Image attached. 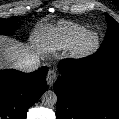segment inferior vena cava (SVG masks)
<instances>
[{
  "mask_svg": "<svg viewBox=\"0 0 119 119\" xmlns=\"http://www.w3.org/2000/svg\"><path fill=\"white\" fill-rule=\"evenodd\" d=\"M40 66V60L37 57H32L28 60H26L25 62L21 63L18 66V69L29 73V72H33L36 71Z\"/></svg>",
  "mask_w": 119,
  "mask_h": 119,
  "instance_id": "602c4592",
  "label": "inferior vena cava"
}]
</instances>
